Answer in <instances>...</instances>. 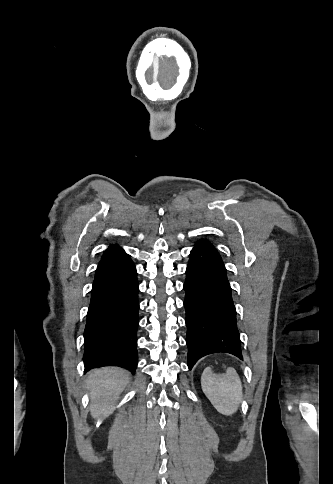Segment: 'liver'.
Segmentation results:
<instances>
[{"label": "liver", "instance_id": "liver-1", "mask_svg": "<svg viewBox=\"0 0 333 484\" xmlns=\"http://www.w3.org/2000/svg\"><path fill=\"white\" fill-rule=\"evenodd\" d=\"M128 381V374L120 368L104 367L90 371L87 388L90 391L92 417L98 419L108 417Z\"/></svg>", "mask_w": 333, "mask_h": 484}]
</instances>
